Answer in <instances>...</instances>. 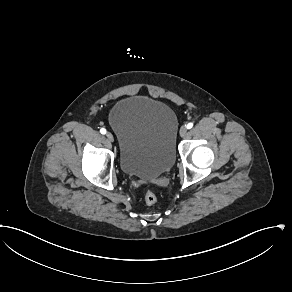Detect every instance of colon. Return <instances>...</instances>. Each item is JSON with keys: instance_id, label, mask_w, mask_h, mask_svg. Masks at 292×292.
Returning a JSON list of instances; mask_svg holds the SVG:
<instances>
[{"instance_id": "obj_1", "label": "colon", "mask_w": 292, "mask_h": 292, "mask_svg": "<svg viewBox=\"0 0 292 292\" xmlns=\"http://www.w3.org/2000/svg\"><path fill=\"white\" fill-rule=\"evenodd\" d=\"M145 204L148 206L155 205L157 202V196L152 190H148L144 196Z\"/></svg>"}]
</instances>
